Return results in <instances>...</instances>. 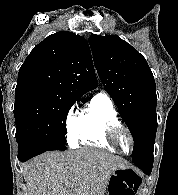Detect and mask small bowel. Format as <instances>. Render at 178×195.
Segmentation results:
<instances>
[{
  "instance_id": "c3829d8e",
  "label": "small bowel",
  "mask_w": 178,
  "mask_h": 195,
  "mask_svg": "<svg viewBox=\"0 0 178 195\" xmlns=\"http://www.w3.org/2000/svg\"><path fill=\"white\" fill-rule=\"evenodd\" d=\"M117 195H134L131 192L125 190L124 188L120 189V191H118Z\"/></svg>"
}]
</instances>
